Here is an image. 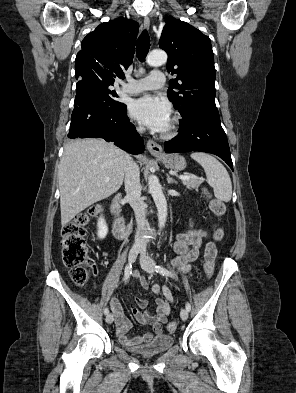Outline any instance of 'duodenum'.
I'll list each match as a JSON object with an SVG mask.
<instances>
[{
	"instance_id": "obj_1",
	"label": "duodenum",
	"mask_w": 296,
	"mask_h": 393,
	"mask_svg": "<svg viewBox=\"0 0 296 393\" xmlns=\"http://www.w3.org/2000/svg\"><path fill=\"white\" fill-rule=\"evenodd\" d=\"M121 194H117L111 204L113 235L117 240H124L129 235V227L121 212Z\"/></svg>"
}]
</instances>
